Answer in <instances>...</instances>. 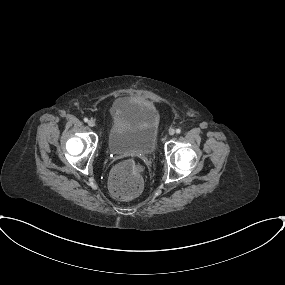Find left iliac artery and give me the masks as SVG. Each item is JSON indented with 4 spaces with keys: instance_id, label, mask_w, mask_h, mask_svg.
Instances as JSON below:
<instances>
[{
    "instance_id": "obj_1",
    "label": "left iliac artery",
    "mask_w": 285,
    "mask_h": 285,
    "mask_svg": "<svg viewBox=\"0 0 285 285\" xmlns=\"http://www.w3.org/2000/svg\"><path fill=\"white\" fill-rule=\"evenodd\" d=\"M180 132H181V129H179V128H178V129H176V133H178V134H179Z\"/></svg>"
}]
</instances>
